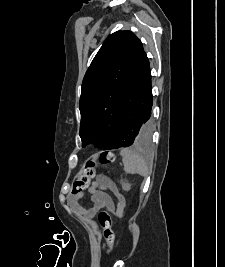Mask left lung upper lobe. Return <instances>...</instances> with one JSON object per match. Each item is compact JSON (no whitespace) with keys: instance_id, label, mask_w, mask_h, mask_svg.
Here are the masks:
<instances>
[{"instance_id":"left-lung-upper-lobe-1","label":"left lung upper lobe","mask_w":225,"mask_h":267,"mask_svg":"<svg viewBox=\"0 0 225 267\" xmlns=\"http://www.w3.org/2000/svg\"><path fill=\"white\" fill-rule=\"evenodd\" d=\"M144 49L131 31L108 36L94 57L82 82L80 97V137L82 147L89 142L104 148L112 139L129 83ZM152 126V120L150 121ZM142 125L135 146L146 144Z\"/></svg>"}]
</instances>
